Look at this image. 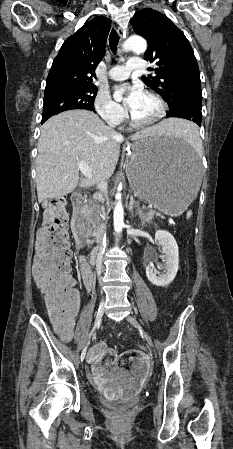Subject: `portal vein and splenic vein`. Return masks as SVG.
<instances>
[{
  "label": "portal vein and splenic vein",
  "instance_id": "portal-vein-and-splenic-vein-1",
  "mask_svg": "<svg viewBox=\"0 0 233 449\" xmlns=\"http://www.w3.org/2000/svg\"><path fill=\"white\" fill-rule=\"evenodd\" d=\"M77 166L78 169L82 172V174L87 177V178H91L92 177V171L91 168L88 164H86L83 161H77ZM151 212L155 213V210H151Z\"/></svg>",
  "mask_w": 233,
  "mask_h": 449
}]
</instances>
